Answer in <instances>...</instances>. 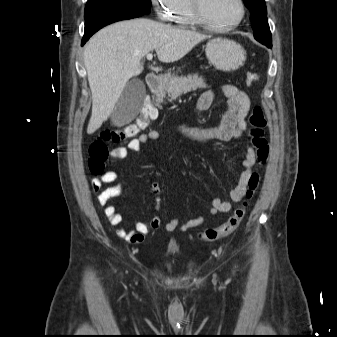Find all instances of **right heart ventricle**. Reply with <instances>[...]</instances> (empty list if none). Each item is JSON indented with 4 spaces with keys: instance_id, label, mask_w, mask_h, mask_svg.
Listing matches in <instances>:
<instances>
[{
    "instance_id": "1",
    "label": "right heart ventricle",
    "mask_w": 337,
    "mask_h": 337,
    "mask_svg": "<svg viewBox=\"0 0 337 337\" xmlns=\"http://www.w3.org/2000/svg\"><path fill=\"white\" fill-rule=\"evenodd\" d=\"M172 20L181 26H193L198 24L192 14L190 0H179Z\"/></svg>"
}]
</instances>
